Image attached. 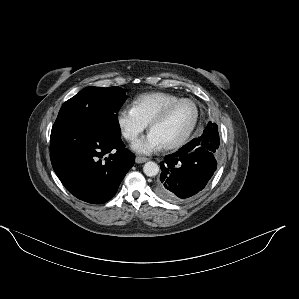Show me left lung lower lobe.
<instances>
[{"label": "left lung lower lobe", "mask_w": 299, "mask_h": 299, "mask_svg": "<svg viewBox=\"0 0 299 299\" xmlns=\"http://www.w3.org/2000/svg\"><path fill=\"white\" fill-rule=\"evenodd\" d=\"M157 182V194L171 202H180L199 193L217 168V154L205 132L177 152L165 156Z\"/></svg>", "instance_id": "0a47b994"}]
</instances>
